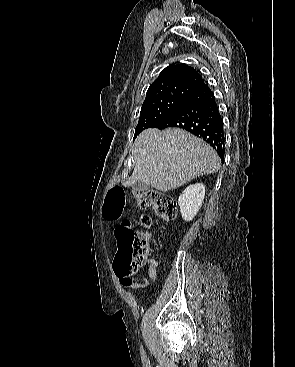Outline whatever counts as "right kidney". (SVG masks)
I'll list each match as a JSON object with an SVG mask.
<instances>
[{
	"label": "right kidney",
	"mask_w": 295,
	"mask_h": 367,
	"mask_svg": "<svg viewBox=\"0 0 295 367\" xmlns=\"http://www.w3.org/2000/svg\"><path fill=\"white\" fill-rule=\"evenodd\" d=\"M205 196V186L197 183L188 186L179 196L180 213L185 221H191L202 206Z\"/></svg>",
	"instance_id": "obj_1"
}]
</instances>
